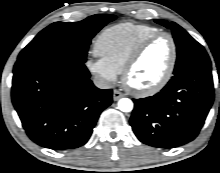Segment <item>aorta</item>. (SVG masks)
Listing matches in <instances>:
<instances>
[{
    "label": "aorta",
    "instance_id": "1",
    "mask_svg": "<svg viewBox=\"0 0 220 173\" xmlns=\"http://www.w3.org/2000/svg\"><path fill=\"white\" fill-rule=\"evenodd\" d=\"M118 109L122 112H131L133 109V102L129 98H122L118 101Z\"/></svg>",
    "mask_w": 220,
    "mask_h": 173
}]
</instances>
